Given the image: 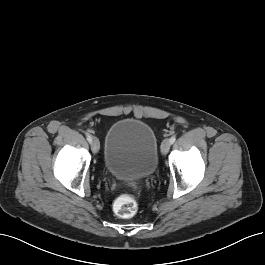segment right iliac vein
Segmentation results:
<instances>
[{"label": "right iliac vein", "mask_w": 265, "mask_h": 265, "mask_svg": "<svg viewBox=\"0 0 265 265\" xmlns=\"http://www.w3.org/2000/svg\"><path fill=\"white\" fill-rule=\"evenodd\" d=\"M100 144L99 141L96 137H93L92 142H91V149L93 153H97L99 151Z\"/></svg>", "instance_id": "63e3f726"}]
</instances>
